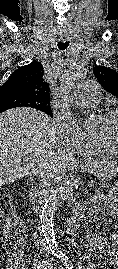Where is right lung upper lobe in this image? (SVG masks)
<instances>
[{
	"label": "right lung upper lobe",
	"instance_id": "cb5924a9",
	"mask_svg": "<svg viewBox=\"0 0 118 269\" xmlns=\"http://www.w3.org/2000/svg\"><path fill=\"white\" fill-rule=\"evenodd\" d=\"M43 66L40 62L19 67L0 87V97L5 94H20L40 103H50V87L43 79Z\"/></svg>",
	"mask_w": 118,
	"mask_h": 269
}]
</instances>
